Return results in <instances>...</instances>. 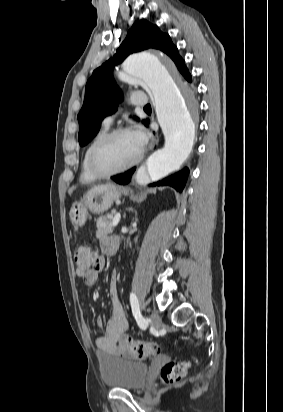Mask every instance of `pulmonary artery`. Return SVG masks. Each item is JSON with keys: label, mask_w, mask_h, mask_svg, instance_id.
<instances>
[{"label": "pulmonary artery", "mask_w": 283, "mask_h": 412, "mask_svg": "<svg viewBox=\"0 0 283 412\" xmlns=\"http://www.w3.org/2000/svg\"><path fill=\"white\" fill-rule=\"evenodd\" d=\"M129 101L131 104L135 106H146L148 104L147 96L139 92L131 94ZM113 120H114V115L106 116L103 119V125L110 126L113 123Z\"/></svg>", "instance_id": "e3ab8cb5"}]
</instances>
